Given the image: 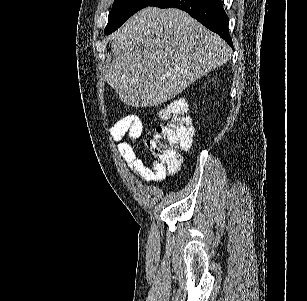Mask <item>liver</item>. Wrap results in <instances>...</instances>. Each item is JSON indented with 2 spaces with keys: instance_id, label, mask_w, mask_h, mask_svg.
Wrapping results in <instances>:
<instances>
[{
  "instance_id": "liver-1",
  "label": "liver",
  "mask_w": 307,
  "mask_h": 301,
  "mask_svg": "<svg viewBox=\"0 0 307 301\" xmlns=\"http://www.w3.org/2000/svg\"><path fill=\"white\" fill-rule=\"evenodd\" d=\"M110 40L103 78L128 106L167 102L232 54L219 34L179 8H142Z\"/></svg>"
}]
</instances>
